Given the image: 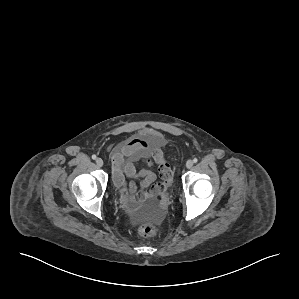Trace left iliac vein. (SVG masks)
<instances>
[{
    "mask_svg": "<svg viewBox=\"0 0 299 299\" xmlns=\"http://www.w3.org/2000/svg\"><path fill=\"white\" fill-rule=\"evenodd\" d=\"M192 166H193V161H192V160H188V161L186 162V167H187L188 169H190V168H192Z\"/></svg>",
    "mask_w": 299,
    "mask_h": 299,
    "instance_id": "4c4485c4",
    "label": "left iliac vein"
}]
</instances>
